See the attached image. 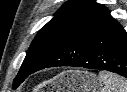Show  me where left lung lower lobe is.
I'll return each mask as SVG.
<instances>
[{
    "label": "left lung lower lobe",
    "instance_id": "0a47b994",
    "mask_svg": "<svg viewBox=\"0 0 127 92\" xmlns=\"http://www.w3.org/2000/svg\"><path fill=\"white\" fill-rule=\"evenodd\" d=\"M56 66L107 70L127 78V33L109 15L59 47L34 72Z\"/></svg>",
    "mask_w": 127,
    "mask_h": 92
}]
</instances>
